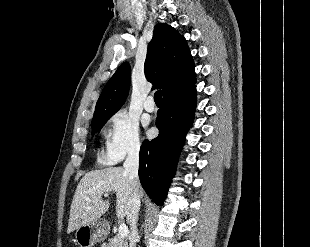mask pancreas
Segmentation results:
<instances>
[{
  "instance_id": "1",
  "label": "pancreas",
  "mask_w": 310,
  "mask_h": 247,
  "mask_svg": "<svg viewBox=\"0 0 310 247\" xmlns=\"http://www.w3.org/2000/svg\"><path fill=\"white\" fill-rule=\"evenodd\" d=\"M102 247H128V242L126 238H120L115 236L108 240V243H104Z\"/></svg>"
}]
</instances>
